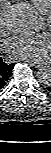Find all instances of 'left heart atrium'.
Wrapping results in <instances>:
<instances>
[{"label":"left heart atrium","mask_w":51,"mask_h":153,"mask_svg":"<svg viewBox=\"0 0 51 153\" xmlns=\"http://www.w3.org/2000/svg\"><path fill=\"white\" fill-rule=\"evenodd\" d=\"M51 38L48 33L14 36L7 41L10 53L23 60L37 61L50 49Z\"/></svg>","instance_id":"39dd6f15"}]
</instances>
